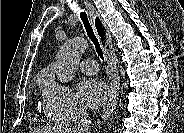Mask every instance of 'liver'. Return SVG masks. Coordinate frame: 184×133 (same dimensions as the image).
Returning a JSON list of instances; mask_svg holds the SVG:
<instances>
[{
  "label": "liver",
  "mask_w": 184,
  "mask_h": 133,
  "mask_svg": "<svg viewBox=\"0 0 184 133\" xmlns=\"http://www.w3.org/2000/svg\"><path fill=\"white\" fill-rule=\"evenodd\" d=\"M35 133H74L70 128L64 127H44L40 129H35Z\"/></svg>",
  "instance_id": "liver-1"
}]
</instances>
